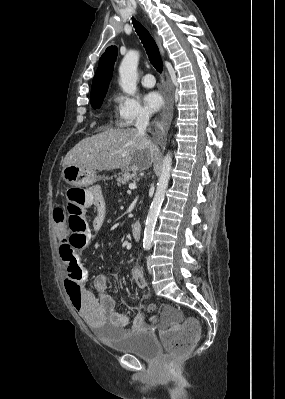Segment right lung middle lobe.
<instances>
[{
	"instance_id": "1",
	"label": "right lung middle lobe",
	"mask_w": 285,
	"mask_h": 399,
	"mask_svg": "<svg viewBox=\"0 0 285 399\" xmlns=\"http://www.w3.org/2000/svg\"><path fill=\"white\" fill-rule=\"evenodd\" d=\"M105 94L106 92H103L101 94L91 97V105L94 109L99 108L101 106Z\"/></svg>"
}]
</instances>
